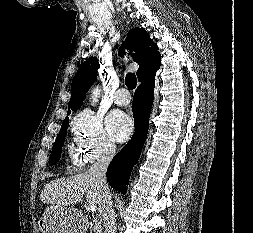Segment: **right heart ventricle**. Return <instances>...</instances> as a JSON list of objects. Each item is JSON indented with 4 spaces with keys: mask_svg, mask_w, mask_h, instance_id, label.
I'll return each mask as SVG.
<instances>
[{
    "mask_svg": "<svg viewBox=\"0 0 253 233\" xmlns=\"http://www.w3.org/2000/svg\"><path fill=\"white\" fill-rule=\"evenodd\" d=\"M69 159L70 163L77 168H81L84 165L85 159L83 155H81V151L79 148L74 147L73 145L69 146Z\"/></svg>",
    "mask_w": 253,
    "mask_h": 233,
    "instance_id": "1",
    "label": "right heart ventricle"
}]
</instances>
